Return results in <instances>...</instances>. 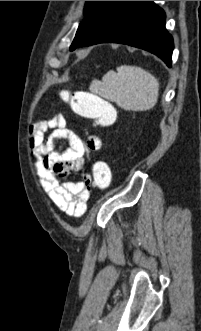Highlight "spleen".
<instances>
[{
    "instance_id": "obj_1",
    "label": "spleen",
    "mask_w": 201,
    "mask_h": 331,
    "mask_svg": "<svg viewBox=\"0 0 201 331\" xmlns=\"http://www.w3.org/2000/svg\"><path fill=\"white\" fill-rule=\"evenodd\" d=\"M95 92L125 110L146 111L157 103L159 83L146 70L123 65L117 67V73L108 71L95 84Z\"/></svg>"
}]
</instances>
